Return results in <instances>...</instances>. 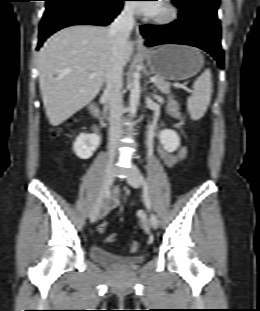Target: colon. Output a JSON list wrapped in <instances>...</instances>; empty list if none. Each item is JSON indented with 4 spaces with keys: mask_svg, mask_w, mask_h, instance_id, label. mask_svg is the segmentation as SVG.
I'll list each match as a JSON object with an SVG mask.
<instances>
[{
    "mask_svg": "<svg viewBox=\"0 0 260 311\" xmlns=\"http://www.w3.org/2000/svg\"><path fill=\"white\" fill-rule=\"evenodd\" d=\"M54 133H55V132H54ZM108 226H109L108 222H102L101 225H100V227H99V231H100L101 233L105 232V231L107 230ZM116 238H117V235H116L115 233H112V234H109V235L106 237L105 241H106L107 243H113V242L116 241ZM139 247H140L139 243H138L137 241H133V242H131V243L129 244V251H130L131 253H136V252L139 250Z\"/></svg>",
    "mask_w": 260,
    "mask_h": 311,
    "instance_id": "obj_1",
    "label": "colon"
}]
</instances>
